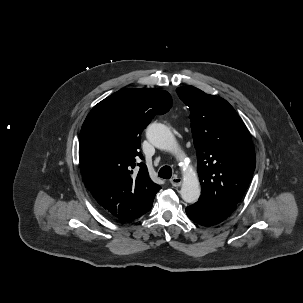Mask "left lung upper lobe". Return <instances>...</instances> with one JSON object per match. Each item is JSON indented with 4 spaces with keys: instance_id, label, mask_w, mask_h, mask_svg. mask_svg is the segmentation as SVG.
<instances>
[{
    "instance_id": "left-lung-upper-lobe-1",
    "label": "left lung upper lobe",
    "mask_w": 303,
    "mask_h": 303,
    "mask_svg": "<svg viewBox=\"0 0 303 303\" xmlns=\"http://www.w3.org/2000/svg\"><path fill=\"white\" fill-rule=\"evenodd\" d=\"M189 107L198 175L204 202L231 215L241 201L255 169L250 134L224 99L193 86L177 88Z\"/></svg>"
}]
</instances>
